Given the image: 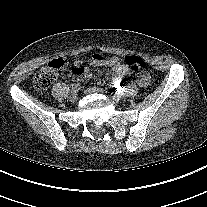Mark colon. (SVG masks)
Here are the masks:
<instances>
[{"instance_id": "5ec220e1", "label": "colon", "mask_w": 207, "mask_h": 207, "mask_svg": "<svg viewBox=\"0 0 207 207\" xmlns=\"http://www.w3.org/2000/svg\"><path fill=\"white\" fill-rule=\"evenodd\" d=\"M108 57L105 55H99V60H105ZM126 66L132 71H144L147 68L146 61L137 56L129 55L126 57ZM67 66V60L64 58H57L52 60L46 67L40 69L33 77L34 87L38 90L47 89L56 79L57 70Z\"/></svg>"}]
</instances>
